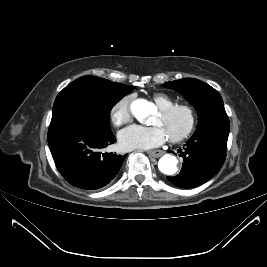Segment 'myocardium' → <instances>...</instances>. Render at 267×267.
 I'll return each mask as SVG.
<instances>
[{"instance_id": "myocardium-1", "label": "myocardium", "mask_w": 267, "mask_h": 267, "mask_svg": "<svg viewBox=\"0 0 267 267\" xmlns=\"http://www.w3.org/2000/svg\"><path fill=\"white\" fill-rule=\"evenodd\" d=\"M179 110H182L187 114L188 124L180 134L168 137V140L172 143H178L187 139L192 134L196 126V121H197L196 112L193 109V107L188 104L184 103L173 104L165 108H161L159 112L163 116H169L172 113Z\"/></svg>"}]
</instances>
